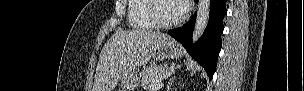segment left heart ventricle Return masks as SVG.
Listing matches in <instances>:
<instances>
[{
	"label": "left heart ventricle",
	"mask_w": 304,
	"mask_h": 91,
	"mask_svg": "<svg viewBox=\"0 0 304 91\" xmlns=\"http://www.w3.org/2000/svg\"><path fill=\"white\" fill-rule=\"evenodd\" d=\"M158 16L163 21H173L183 13L182 4L177 0H165L158 3Z\"/></svg>",
	"instance_id": "1"
}]
</instances>
